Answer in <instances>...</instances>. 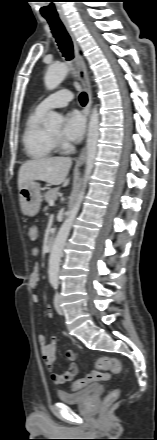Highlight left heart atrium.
<instances>
[{"label": "left heart atrium", "instance_id": "obj_1", "mask_svg": "<svg viewBox=\"0 0 157 440\" xmlns=\"http://www.w3.org/2000/svg\"><path fill=\"white\" fill-rule=\"evenodd\" d=\"M85 133V120L77 113H70L65 117L62 136L64 139L77 142Z\"/></svg>", "mask_w": 157, "mask_h": 440}]
</instances>
